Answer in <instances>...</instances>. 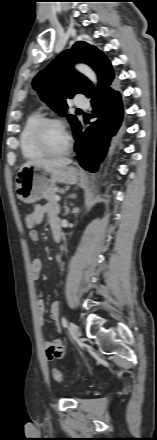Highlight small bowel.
I'll use <instances>...</instances> for the list:
<instances>
[{"label": "small bowel", "mask_w": 157, "mask_h": 440, "mask_svg": "<svg viewBox=\"0 0 157 440\" xmlns=\"http://www.w3.org/2000/svg\"><path fill=\"white\" fill-rule=\"evenodd\" d=\"M58 213H59V207L55 202L52 201L47 202L45 204L36 205L32 212L37 225L41 224L44 220V217L47 215L51 229L54 226H60L58 220ZM29 238L32 241H37L39 239L38 231L36 229L31 230L29 232ZM41 270H42V261L39 258H35L31 263L32 277L34 280H37L39 278ZM45 313H46V307L44 301L41 298V295L39 294L37 300V314H38L39 323L41 325L44 323ZM59 313H60V303L58 301H55L51 305L50 315L51 318L56 322L57 327H59ZM56 345L63 347L61 337H57L54 340H47L44 343V347L46 349V355L49 360L54 359V357L50 355V350L52 349V347ZM63 351H64V347H63Z\"/></svg>", "instance_id": "small-bowel-1"}]
</instances>
